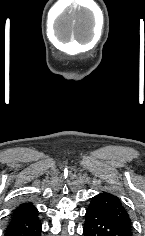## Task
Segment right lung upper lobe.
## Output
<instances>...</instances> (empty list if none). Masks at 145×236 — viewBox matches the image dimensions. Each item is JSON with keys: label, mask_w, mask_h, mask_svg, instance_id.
I'll list each match as a JSON object with an SVG mask.
<instances>
[{"label": "right lung upper lobe", "mask_w": 145, "mask_h": 236, "mask_svg": "<svg viewBox=\"0 0 145 236\" xmlns=\"http://www.w3.org/2000/svg\"><path fill=\"white\" fill-rule=\"evenodd\" d=\"M31 207H33V205L31 203L21 204L13 211V213L18 212L23 209L31 208Z\"/></svg>", "instance_id": "1"}]
</instances>
